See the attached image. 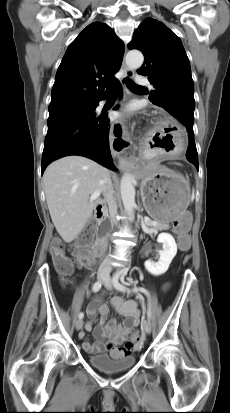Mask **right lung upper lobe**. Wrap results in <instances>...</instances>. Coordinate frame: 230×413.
<instances>
[{
	"mask_svg": "<svg viewBox=\"0 0 230 413\" xmlns=\"http://www.w3.org/2000/svg\"><path fill=\"white\" fill-rule=\"evenodd\" d=\"M124 49L123 42L107 24L88 25L62 58L49 107L94 103L105 97L118 81L113 74L120 69Z\"/></svg>",
	"mask_w": 230,
	"mask_h": 413,
	"instance_id": "obj_1",
	"label": "right lung upper lobe"
}]
</instances>
